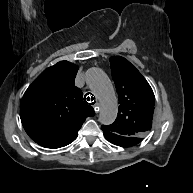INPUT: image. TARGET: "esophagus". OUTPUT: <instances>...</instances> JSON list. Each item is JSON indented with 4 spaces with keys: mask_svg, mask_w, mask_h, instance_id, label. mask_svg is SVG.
I'll use <instances>...</instances> for the list:
<instances>
[{
    "mask_svg": "<svg viewBox=\"0 0 193 193\" xmlns=\"http://www.w3.org/2000/svg\"><path fill=\"white\" fill-rule=\"evenodd\" d=\"M94 111L98 113L100 111V104L97 102L96 105L94 106Z\"/></svg>",
    "mask_w": 193,
    "mask_h": 193,
    "instance_id": "esophagus-1",
    "label": "esophagus"
}]
</instances>
